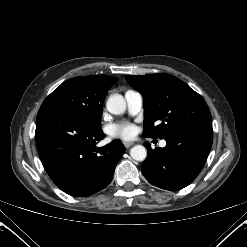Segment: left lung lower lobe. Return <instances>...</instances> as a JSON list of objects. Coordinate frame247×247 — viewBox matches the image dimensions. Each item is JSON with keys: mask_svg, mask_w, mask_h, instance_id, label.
Wrapping results in <instances>:
<instances>
[{"mask_svg": "<svg viewBox=\"0 0 247 247\" xmlns=\"http://www.w3.org/2000/svg\"><path fill=\"white\" fill-rule=\"evenodd\" d=\"M164 148H151L145 143L148 156L141 168L153 185L169 190H180L200 173L209 155L213 129L211 125L189 127L170 133L164 138Z\"/></svg>", "mask_w": 247, "mask_h": 247, "instance_id": "1", "label": "left lung lower lobe"}]
</instances>
